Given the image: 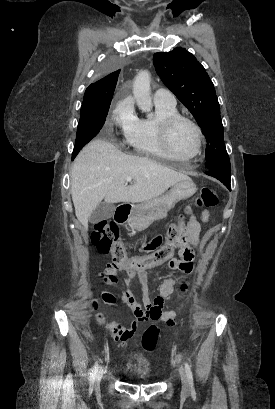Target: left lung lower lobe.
<instances>
[{"instance_id": "0a47b994", "label": "left lung lower lobe", "mask_w": 275, "mask_h": 409, "mask_svg": "<svg viewBox=\"0 0 275 409\" xmlns=\"http://www.w3.org/2000/svg\"><path fill=\"white\" fill-rule=\"evenodd\" d=\"M205 173L221 181L231 191V174H226L225 172H222L220 170H207Z\"/></svg>"}]
</instances>
